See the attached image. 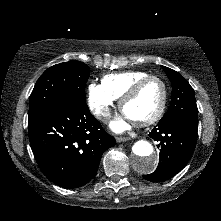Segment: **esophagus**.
Returning a JSON list of instances; mask_svg holds the SVG:
<instances>
[{"label":"esophagus","instance_id":"1","mask_svg":"<svg viewBox=\"0 0 221 221\" xmlns=\"http://www.w3.org/2000/svg\"><path fill=\"white\" fill-rule=\"evenodd\" d=\"M127 140H129V137H116V141H117L118 143H120V142H125V141H127Z\"/></svg>","mask_w":221,"mask_h":221}]
</instances>
